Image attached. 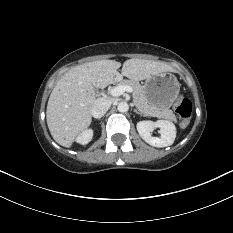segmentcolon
I'll return each mask as SVG.
<instances>
[{"instance_id":"5ec220e1","label":"colon","mask_w":233,"mask_h":233,"mask_svg":"<svg viewBox=\"0 0 233 233\" xmlns=\"http://www.w3.org/2000/svg\"><path fill=\"white\" fill-rule=\"evenodd\" d=\"M174 108L181 119V126L187 127L192 113L191 101L184 96H179L174 104Z\"/></svg>"}]
</instances>
